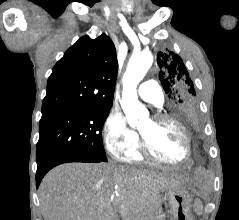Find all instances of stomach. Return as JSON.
<instances>
[{"mask_svg":"<svg viewBox=\"0 0 239 220\" xmlns=\"http://www.w3.org/2000/svg\"><path fill=\"white\" fill-rule=\"evenodd\" d=\"M159 204L157 217L171 213L172 217H166V220H191V198L183 187L167 189Z\"/></svg>","mask_w":239,"mask_h":220,"instance_id":"stomach-1","label":"stomach"}]
</instances>
